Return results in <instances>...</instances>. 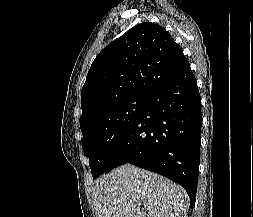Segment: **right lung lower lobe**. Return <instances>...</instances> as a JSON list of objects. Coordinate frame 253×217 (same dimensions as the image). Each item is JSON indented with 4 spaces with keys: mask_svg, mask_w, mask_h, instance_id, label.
Instances as JSON below:
<instances>
[{
    "mask_svg": "<svg viewBox=\"0 0 253 217\" xmlns=\"http://www.w3.org/2000/svg\"><path fill=\"white\" fill-rule=\"evenodd\" d=\"M202 126L201 98L187 61L148 97L112 154L108 173L125 163L161 174L196 200Z\"/></svg>",
    "mask_w": 253,
    "mask_h": 217,
    "instance_id": "98d812e1",
    "label": "right lung lower lobe"
}]
</instances>
